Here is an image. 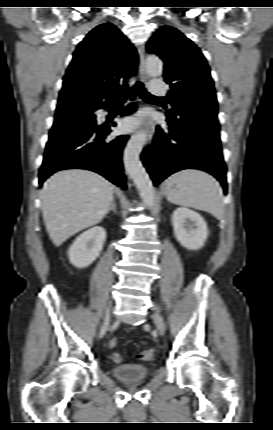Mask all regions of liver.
Listing matches in <instances>:
<instances>
[{"label":"liver","instance_id":"obj_1","mask_svg":"<svg viewBox=\"0 0 273 430\" xmlns=\"http://www.w3.org/2000/svg\"><path fill=\"white\" fill-rule=\"evenodd\" d=\"M114 186L86 169L61 170L41 190L46 229L55 246L98 224L113 202Z\"/></svg>","mask_w":273,"mask_h":430}]
</instances>
